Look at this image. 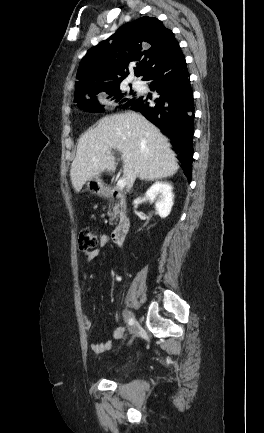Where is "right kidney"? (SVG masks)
<instances>
[{
  "label": "right kidney",
  "mask_w": 264,
  "mask_h": 433,
  "mask_svg": "<svg viewBox=\"0 0 264 433\" xmlns=\"http://www.w3.org/2000/svg\"><path fill=\"white\" fill-rule=\"evenodd\" d=\"M146 198L150 201L156 199L159 196V200L156 201L155 206L158 215L161 218L167 217L173 206V193L172 186L167 182H155L146 192Z\"/></svg>",
  "instance_id": "obj_1"
}]
</instances>
